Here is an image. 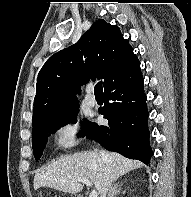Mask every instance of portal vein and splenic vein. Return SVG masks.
Returning a JSON list of instances; mask_svg holds the SVG:
<instances>
[{"label": "portal vein and splenic vein", "instance_id": "portal-vein-and-splenic-vein-1", "mask_svg": "<svg viewBox=\"0 0 191 197\" xmlns=\"http://www.w3.org/2000/svg\"><path fill=\"white\" fill-rule=\"evenodd\" d=\"M78 182H82L86 184L87 186H92V182H90L89 179L87 178H81L77 180ZM89 197H98V193L96 190H92L91 193L89 194Z\"/></svg>", "mask_w": 191, "mask_h": 197}]
</instances>
